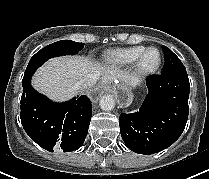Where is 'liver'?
<instances>
[{
    "mask_svg": "<svg viewBox=\"0 0 209 179\" xmlns=\"http://www.w3.org/2000/svg\"><path fill=\"white\" fill-rule=\"evenodd\" d=\"M90 75L96 76L102 85L119 80L124 85L135 84V78L113 67H102L99 63L81 56L52 58L40 67L32 78V85L55 101L73 97L79 88L76 84Z\"/></svg>",
    "mask_w": 209,
    "mask_h": 179,
    "instance_id": "obj_1",
    "label": "liver"
}]
</instances>
